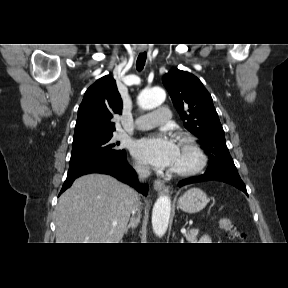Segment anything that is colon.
<instances>
[{
	"label": "colon",
	"instance_id": "5ec220e1",
	"mask_svg": "<svg viewBox=\"0 0 288 288\" xmlns=\"http://www.w3.org/2000/svg\"><path fill=\"white\" fill-rule=\"evenodd\" d=\"M219 227L231 238L239 239L241 238V233H239L235 225L227 217H222L218 221Z\"/></svg>",
	"mask_w": 288,
	"mask_h": 288
}]
</instances>
